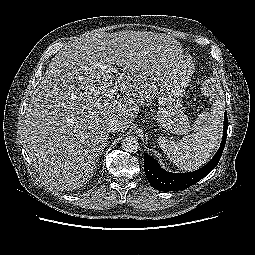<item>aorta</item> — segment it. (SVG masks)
<instances>
[{
	"label": "aorta",
	"instance_id": "1",
	"mask_svg": "<svg viewBox=\"0 0 255 255\" xmlns=\"http://www.w3.org/2000/svg\"><path fill=\"white\" fill-rule=\"evenodd\" d=\"M139 148V142L134 136H127L122 140V149L126 152L134 153Z\"/></svg>",
	"mask_w": 255,
	"mask_h": 255
}]
</instances>
